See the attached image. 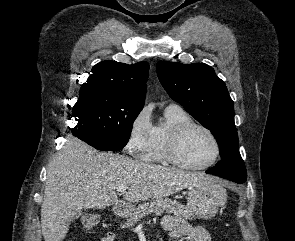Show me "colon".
Instances as JSON below:
<instances>
[{
  "mask_svg": "<svg viewBox=\"0 0 295 241\" xmlns=\"http://www.w3.org/2000/svg\"><path fill=\"white\" fill-rule=\"evenodd\" d=\"M97 223V219L94 218L93 216H89L85 220V227L91 228Z\"/></svg>",
  "mask_w": 295,
  "mask_h": 241,
  "instance_id": "colon-1",
  "label": "colon"
}]
</instances>
